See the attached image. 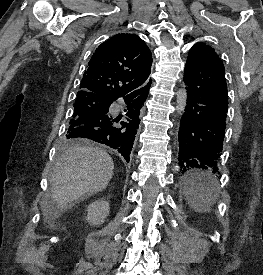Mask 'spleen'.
Masks as SVG:
<instances>
[{
  "instance_id": "1",
  "label": "spleen",
  "mask_w": 263,
  "mask_h": 275,
  "mask_svg": "<svg viewBox=\"0 0 263 275\" xmlns=\"http://www.w3.org/2000/svg\"><path fill=\"white\" fill-rule=\"evenodd\" d=\"M187 185V202L196 212L203 210L200 202L205 201L208 203L212 199L210 193L218 187L217 180L214 177L209 178L206 184L196 183L188 179Z\"/></svg>"
}]
</instances>
